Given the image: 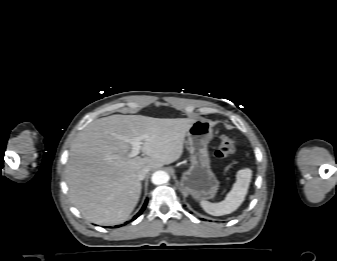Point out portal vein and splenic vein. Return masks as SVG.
I'll use <instances>...</instances> for the list:
<instances>
[{"instance_id": "1", "label": "portal vein and splenic vein", "mask_w": 337, "mask_h": 261, "mask_svg": "<svg viewBox=\"0 0 337 261\" xmlns=\"http://www.w3.org/2000/svg\"><path fill=\"white\" fill-rule=\"evenodd\" d=\"M146 138H147V136L136 137V138H133V139H125L132 146V150L130 152L131 157H135L140 153L142 140L146 139Z\"/></svg>"}]
</instances>
